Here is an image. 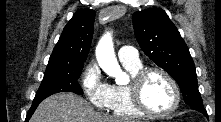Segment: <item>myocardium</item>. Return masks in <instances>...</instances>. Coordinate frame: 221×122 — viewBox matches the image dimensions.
I'll use <instances>...</instances> for the list:
<instances>
[{
  "label": "myocardium",
  "mask_w": 221,
  "mask_h": 122,
  "mask_svg": "<svg viewBox=\"0 0 221 122\" xmlns=\"http://www.w3.org/2000/svg\"><path fill=\"white\" fill-rule=\"evenodd\" d=\"M153 73H157L162 75L170 84L173 95L174 102L170 109L165 112H155L151 110L144 102L142 96V86L145 79ZM129 94L131 100L138 111H140L143 115L154 117V118H164L172 115L179 107L181 101L180 90L176 80L164 69L159 67H148L142 68L138 72H136L128 85Z\"/></svg>",
  "instance_id": "obj_1"
}]
</instances>
